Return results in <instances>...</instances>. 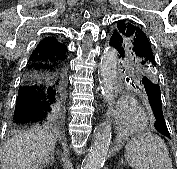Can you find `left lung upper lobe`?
I'll list each match as a JSON object with an SVG mask.
<instances>
[{
    "label": "left lung upper lobe",
    "instance_id": "1",
    "mask_svg": "<svg viewBox=\"0 0 177 169\" xmlns=\"http://www.w3.org/2000/svg\"><path fill=\"white\" fill-rule=\"evenodd\" d=\"M109 44L118 50L120 57L132 60L143 75L157 83V65L151 44L139 26L118 21L110 33Z\"/></svg>",
    "mask_w": 177,
    "mask_h": 169
}]
</instances>
